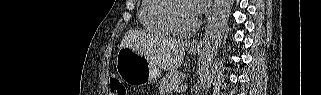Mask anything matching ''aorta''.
Masks as SVG:
<instances>
[{"mask_svg":"<svg viewBox=\"0 0 321 95\" xmlns=\"http://www.w3.org/2000/svg\"><path fill=\"white\" fill-rule=\"evenodd\" d=\"M234 0H214L213 8L206 26L199 77L201 80L209 71L213 59L223 39Z\"/></svg>","mask_w":321,"mask_h":95,"instance_id":"obj_1","label":"aorta"}]
</instances>
